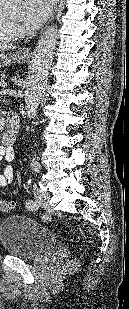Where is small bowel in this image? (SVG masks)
I'll list each match as a JSON object with an SVG mask.
<instances>
[{"mask_svg": "<svg viewBox=\"0 0 129 309\" xmlns=\"http://www.w3.org/2000/svg\"><path fill=\"white\" fill-rule=\"evenodd\" d=\"M4 159L7 164L0 166V187L8 185L13 179V168L10 162L14 159L12 146H0V161Z\"/></svg>", "mask_w": 129, "mask_h": 309, "instance_id": "1", "label": "small bowel"}]
</instances>
